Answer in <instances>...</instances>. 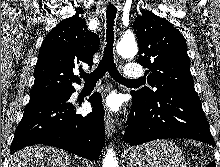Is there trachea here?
<instances>
[{
  "label": "trachea",
  "instance_id": "3493384b",
  "mask_svg": "<svg viewBox=\"0 0 220 167\" xmlns=\"http://www.w3.org/2000/svg\"><path fill=\"white\" fill-rule=\"evenodd\" d=\"M117 9L115 6L110 5L106 9V45L101 61L97 68L90 74L81 73V77L85 80V83H96L99 79L103 78L106 72L119 83L129 84L141 79H126L118 71L113 57V44H114V21L116 17Z\"/></svg>",
  "mask_w": 220,
  "mask_h": 167
}]
</instances>
